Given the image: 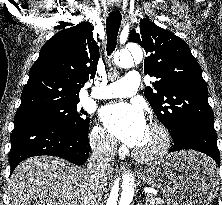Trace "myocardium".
I'll list each match as a JSON object with an SVG mask.
<instances>
[{
	"label": "myocardium",
	"mask_w": 222,
	"mask_h": 205,
	"mask_svg": "<svg viewBox=\"0 0 222 205\" xmlns=\"http://www.w3.org/2000/svg\"><path fill=\"white\" fill-rule=\"evenodd\" d=\"M149 126L154 128L160 134L161 143L159 147L150 153H143L136 149H134L132 152L135 159L145 163L154 162L161 159L163 156H165V154H167L171 145V136L164 124L159 121H151Z\"/></svg>",
	"instance_id": "f54148a6"
}]
</instances>
